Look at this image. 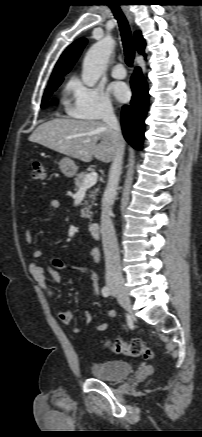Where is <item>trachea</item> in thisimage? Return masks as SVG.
Masks as SVG:
<instances>
[{
	"mask_svg": "<svg viewBox=\"0 0 202 437\" xmlns=\"http://www.w3.org/2000/svg\"><path fill=\"white\" fill-rule=\"evenodd\" d=\"M109 7L111 8L115 18L118 21L119 29L121 32L122 44L124 48L125 62L129 67H132L135 57V50L132 33L128 21L119 6L110 5Z\"/></svg>",
	"mask_w": 202,
	"mask_h": 437,
	"instance_id": "3493384b",
	"label": "trachea"
}]
</instances>
